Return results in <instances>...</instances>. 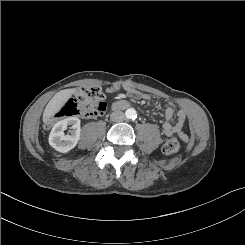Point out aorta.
<instances>
[{
	"instance_id": "762f6f07",
	"label": "aorta",
	"mask_w": 245,
	"mask_h": 245,
	"mask_svg": "<svg viewBox=\"0 0 245 245\" xmlns=\"http://www.w3.org/2000/svg\"><path fill=\"white\" fill-rule=\"evenodd\" d=\"M125 115L128 119H135L137 117L136 110L133 108H129L125 111Z\"/></svg>"
}]
</instances>
